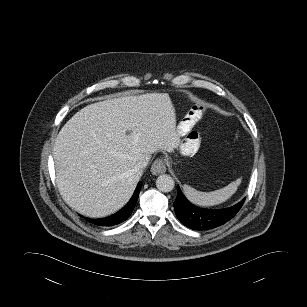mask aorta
Wrapping results in <instances>:
<instances>
[{"mask_svg":"<svg viewBox=\"0 0 307 307\" xmlns=\"http://www.w3.org/2000/svg\"><path fill=\"white\" fill-rule=\"evenodd\" d=\"M174 186V180L170 175L162 174L156 180V187L162 192H170Z\"/></svg>","mask_w":307,"mask_h":307,"instance_id":"762f6f07","label":"aorta"}]
</instances>
